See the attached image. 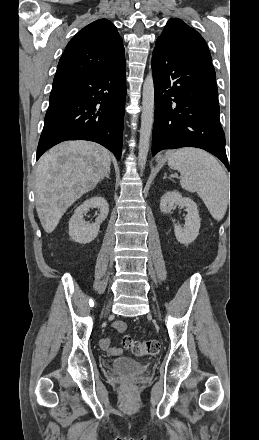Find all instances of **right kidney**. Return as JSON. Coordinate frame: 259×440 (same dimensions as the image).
Instances as JSON below:
<instances>
[{
    "label": "right kidney",
    "mask_w": 259,
    "mask_h": 440,
    "mask_svg": "<svg viewBox=\"0 0 259 440\" xmlns=\"http://www.w3.org/2000/svg\"><path fill=\"white\" fill-rule=\"evenodd\" d=\"M90 208H98L100 214L92 224L86 223L83 219L84 214ZM109 213V205L103 197H93L86 200L77 207L73 216L69 221V235L75 242L86 244L93 241L100 229V225L107 218Z\"/></svg>",
    "instance_id": "obj_1"
}]
</instances>
